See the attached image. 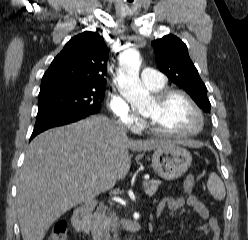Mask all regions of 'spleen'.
<instances>
[{"instance_id":"1","label":"spleen","mask_w":248,"mask_h":240,"mask_svg":"<svg viewBox=\"0 0 248 240\" xmlns=\"http://www.w3.org/2000/svg\"><path fill=\"white\" fill-rule=\"evenodd\" d=\"M207 187L214 199L219 201L224 199L226 195L225 187L222 180L216 173L212 172L209 175Z\"/></svg>"}]
</instances>
